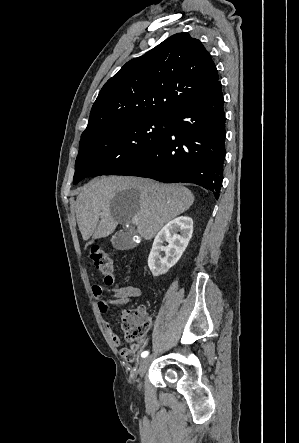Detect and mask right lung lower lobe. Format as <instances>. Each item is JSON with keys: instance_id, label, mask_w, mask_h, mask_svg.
<instances>
[{"instance_id": "obj_1", "label": "right lung lower lobe", "mask_w": 299, "mask_h": 443, "mask_svg": "<svg viewBox=\"0 0 299 443\" xmlns=\"http://www.w3.org/2000/svg\"><path fill=\"white\" fill-rule=\"evenodd\" d=\"M223 105L218 80L206 93L170 113L165 138L148 154L114 175L194 183L209 189L218 199L225 157Z\"/></svg>"}]
</instances>
